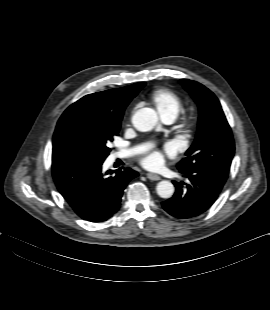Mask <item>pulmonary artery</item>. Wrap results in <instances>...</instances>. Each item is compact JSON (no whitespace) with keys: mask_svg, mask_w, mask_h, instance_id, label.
<instances>
[{"mask_svg":"<svg viewBox=\"0 0 270 310\" xmlns=\"http://www.w3.org/2000/svg\"><path fill=\"white\" fill-rule=\"evenodd\" d=\"M164 121L166 123H171L173 120L172 119H165ZM136 151H137L136 149H133V150H129V151L119 152L117 154V156L120 157V158L128 157V156L134 154Z\"/></svg>","mask_w":270,"mask_h":310,"instance_id":"e3ab8cb5","label":"pulmonary artery"}]
</instances>
